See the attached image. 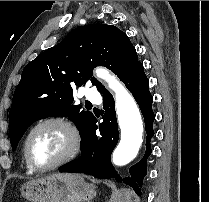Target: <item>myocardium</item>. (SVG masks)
<instances>
[{"label":"myocardium","mask_w":209,"mask_h":202,"mask_svg":"<svg viewBox=\"0 0 209 202\" xmlns=\"http://www.w3.org/2000/svg\"><path fill=\"white\" fill-rule=\"evenodd\" d=\"M46 125H56L65 133L68 146L66 150L52 163L39 166L30 155L29 142L32 135L41 127ZM82 147L81 135L77 127L67 118L62 116H48L37 121L27 132L23 141V153L29 167L36 172H45L58 168L59 166L73 160L80 152Z\"/></svg>","instance_id":"myocardium-1"}]
</instances>
